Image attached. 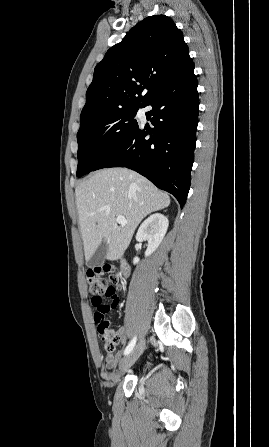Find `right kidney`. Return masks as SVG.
<instances>
[{
  "mask_svg": "<svg viewBox=\"0 0 269 447\" xmlns=\"http://www.w3.org/2000/svg\"><path fill=\"white\" fill-rule=\"evenodd\" d=\"M168 218L163 216V214H152L150 218H147L143 224L140 225L137 233V241H143V239H148V247L145 251V255H151L158 245H160L167 229H168ZM139 257H134L133 263H138Z\"/></svg>",
  "mask_w": 269,
  "mask_h": 447,
  "instance_id": "ca27d5eb",
  "label": "right kidney"
}]
</instances>
